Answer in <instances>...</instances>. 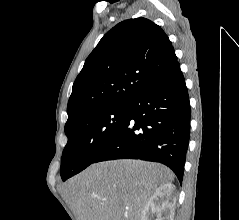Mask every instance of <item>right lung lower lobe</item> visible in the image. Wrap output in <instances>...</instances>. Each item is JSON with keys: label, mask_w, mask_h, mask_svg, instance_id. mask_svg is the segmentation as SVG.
Segmentation results:
<instances>
[{"label": "right lung lower lobe", "mask_w": 239, "mask_h": 220, "mask_svg": "<svg viewBox=\"0 0 239 220\" xmlns=\"http://www.w3.org/2000/svg\"><path fill=\"white\" fill-rule=\"evenodd\" d=\"M190 134V103L176 62L127 102V117L93 163L142 159L168 166L182 183Z\"/></svg>", "instance_id": "1"}]
</instances>
